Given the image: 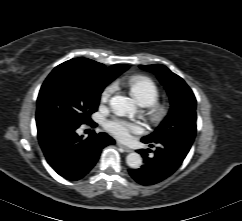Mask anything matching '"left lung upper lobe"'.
I'll return each mask as SVG.
<instances>
[{"instance_id": "obj_1", "label": "left lung upper lobe", "mask_w": 242, "mask_h": 221, "mask_svg": "<svg viewBox=\"0 0 242 221\" xmlns=\"http://www.w3.org/2000/svg\"><path fill=\"white\" fill-rule=\"evenodd\" d=\"M140 68L157 75L171 101L168 116L152 134L143 137L142 141L158 143L174 140L192 145L196 134L197 118L196 99L192 90L181 77L164 65H140Z\"/></svg>"}]
</instances>
